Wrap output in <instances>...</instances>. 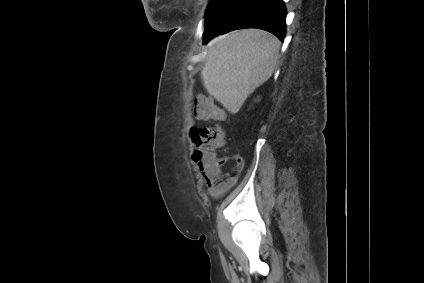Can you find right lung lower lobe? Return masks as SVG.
<instances>
[{"instance_id":"98d812e1","label":"right lung lower lobe","mask_w":424,"mask_h":283,"mask_svg":"<svg viewBox=\"0 0 424 283\" xmlns=\"http://www.w3.org/2000/svg\"><path fill=\"white\" fill-rule=\"evenodd\" d=\"M286 9L282 0H228L205 26L204 43L219 33L235 29L258 28L285 36Z\"/></svg>"}]
</instances>
